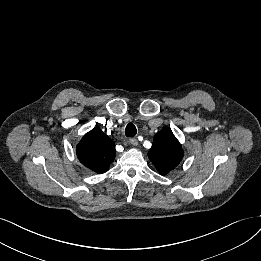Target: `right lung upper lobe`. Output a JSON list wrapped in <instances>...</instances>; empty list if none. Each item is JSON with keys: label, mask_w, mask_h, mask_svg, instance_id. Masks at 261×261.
<instances>
[{"label": "right lung upper lobe", "mask_w": 261, "mask_h": 261, "mask_svg": "<svg viewBox=\"0 0 261 261\" xmlns=\"http://www.w3.org/2000/svg\"><path fill=\"white\" fill-rule=\"evenodd\" d=\"M80 162L96 173H104L115 158V144L98 127L84 135L76 147Z\"/></svg>", "instance_id": "obj_1"}]
</instances>
